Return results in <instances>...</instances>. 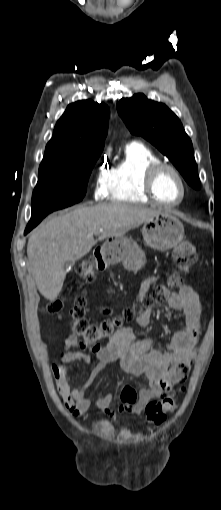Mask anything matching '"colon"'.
Here are the masks:
<instances>
[{
	"instance_id": "1",
	"label": "colon",
	"mask_w": 221,
	"mask_h": 510,
	"mask_svg": "<svg viewBox=\"0 0 221 510\" xmlns=\"http://www.w3.org/2000/svg\"><path fill=\"white\" fill-rule=\"evenodd\" d=\"M198 256V250L191 241L182 242L173 252V261L177 271L169 277L167 282L156 284L141 302L133 308L124 310L117 317L99 323L92 322L86 316V299L82 296L77 297L69 311L72 318L71 329L73 334L82 338L84 343L90 346L111 340L125 322L131 321L155 304L165 301L169 297L170 289L180 284L182 276L197 261ZM95 269L96 262L94 258L84 259L78 266V276L83 281H90L94 277ZM63 306V301L57 300L47 305L46 311L61 316ZM181 389L184 390V387ZM176 408L177 403L173 397L150 401L145 407V421L148 424H161L166 420L167 414L173 412Z\"/></svg>"
}]
</instances>
